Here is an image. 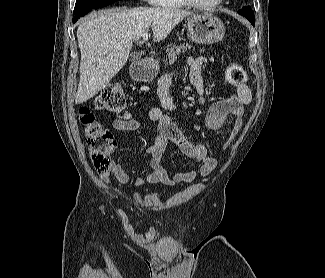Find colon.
I'll return each instance as SVG.
<instances>
[{"mask_svg":"<svg viewBox=\"0 0 325 278\" xmlns=\"http://www.w3.org/2000/svg\"><path fill=\"white\" fill-rule=\"evenodd\" d=\"M226 78L238 87L245 84L247 74L241 65L231 63L226 69ZM95 110L108 111L118 119H128L126 97L122 88L117 85L108 86L97 94L92 106H82L79 109V118L93 165L97 171L105 172L111 165V155L115 151L116 143L111 132L96 118Z\"/></svg>","mask_w":325,"mask_h":278,"instance_id":"obj_1","label":"colon"}]
</instances>
